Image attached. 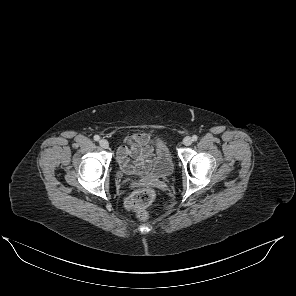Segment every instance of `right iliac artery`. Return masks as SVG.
Segmentation results:
<instances>
[{
    "mask_svg": "<svg viewBox=\"0 0 296 296\" xmlns=\"http://www.w3.org/2000/svg\"><path fill=\"white\" fill-rule=\"evenodd\" d=\"M99 139H100V137H99L98 135H95V136H94V140H95V141H99Z\"/></svg>",
    "mask_w": 296,
    "mask_h": 296,
    "instance_id": "right-iliac-artery-1",
    "label": "right iliac artery"
}]
</instances>
